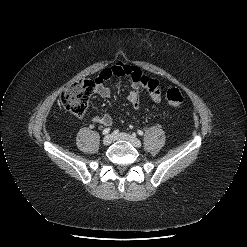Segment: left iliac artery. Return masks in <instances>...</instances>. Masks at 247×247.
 Here are the masks:
<instances>
[{
	"label": "left iliac artery",
	"mask_w": 247,
	"mask_h": 247,
	"mask_svg": "<svg viewBox=\"0 0 247 247\" xmlns=\"http://www.w3.org/2000/svg\"><path fill=\"white\" fill-rule=\"evenodd\" d=\"M137 133H138L140 136L143 135V131H141V130H138Z\"/></svg>",
	"instance_id": "1"
}]
</instances>
